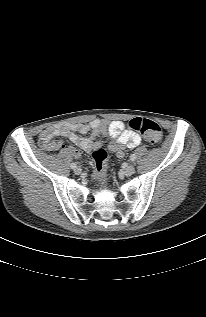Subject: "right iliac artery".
Returning <instances> with one entry per match:
<instances>
[{
	"instance_id": "right-iliac-artery-1",
	"label": "right iliac artery",
	"mask_w": 206,
	"mask_h": 317,
	"mask_svg": "<svg viewBox=\"0 0 206 317\" xmlns=\"http://www.w3.org/2000/svg\"><path fill=\"white\" fill-rule=\"evenodd\" d=\"M72 169H75L77 167V165L75 163H71V166H70Z\"/></svg>"
}]
</instances>
